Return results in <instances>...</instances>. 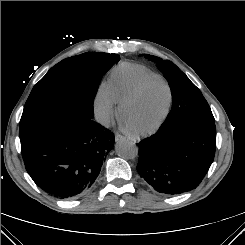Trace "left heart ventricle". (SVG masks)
Listing matches in <instances>:
<instances>
[{"label": "left heart ventricle", "instance_id": "b2bd125f", "mask_svg": "<svg viewBox=\"0 0 245 245\" xmlns=\"http://www.w3.org/2000/svg\"><path fill=\"white\" fill-rule=\"evenodd\" d=\"M167 99V89L162 83H150L140 97L125 108L126 125L134 129L152 126L163 114Z\"/></svg>", "mask_w": 245, "mask_h": 245}]
</instances>
